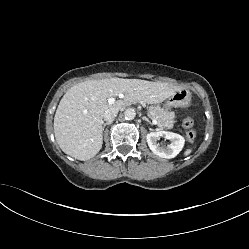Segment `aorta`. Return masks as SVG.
<instances>
[{
	"label": "aorta",
	"instance_id": "1",
	"mask_svg": "<svg viewBox=\"0 0 249 249\" xmlns=\"http://www.w3.org/2000/svg\"><path fill=\"white\" fill-rule=\"evenodd\" d=\"M136 116V112L133 108H128L124 112V117L126 120H133Z\"/></svg>",
	"mask_w": 249,
	"mask_h": 249
}]
</instances>
